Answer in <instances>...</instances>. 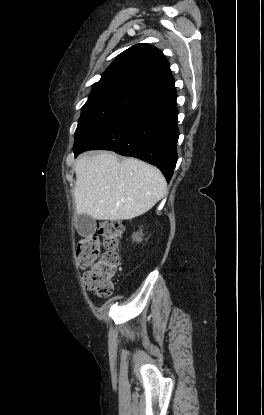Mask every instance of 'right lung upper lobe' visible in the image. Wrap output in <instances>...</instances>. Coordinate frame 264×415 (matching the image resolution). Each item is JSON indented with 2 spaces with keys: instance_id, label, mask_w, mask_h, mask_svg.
<instances>
[{
  "instance_id": "obj_1",
  "label": "right lung upper lobe",
  "mask_w": 264,
  "mask_h": 415,
  "mask_svg": "<svg viewBox=\"0 0 264 415\" xmlns=\"http://www.w3.org/2000/svg\"><path fill=\"white\" fill-rule=\"evenodd\" d=\"M174 88V78L164 54L146 43L119 54L93 85L90 96L124 93L147 99Z\"/></svg>"
}]
</instances>
